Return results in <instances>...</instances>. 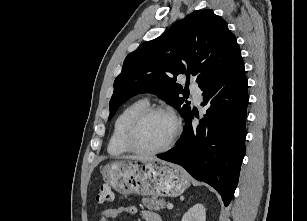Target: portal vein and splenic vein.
<instances>
[{
	"label": "portal vein and splenic vein",
	"instance_id": "18ae733b",
	"mask_svg": "<svg viewBox=\"0 0 307 221\" xmlns=\"http://www.w3.org/2000/svg\"><path fill=\"white\" fill-rule=\"evenodd\" d=\"M167 208H168L169 210L173 209V204L168 203V204H167Z\"/></svg>",
	"mask_w": 307,
	"mask_h": 221
}]
</instances>
